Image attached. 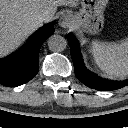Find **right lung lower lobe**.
<instances>
[{
	"mask_svg": "<svg viewBox=\"0 0 128 128\" xmlns=\"http://www.w3.org/2000/svg\"><path fill=\"white\" fill-rule=\"evenodd\" d=\"M53 33L50 23L39 29L19 51L0 59V84L16 87L30 81L39 71L40 47Z\"/></svg>",
	"mask_w": 128,
	"mask_h": 128,
	"instance_id": "obj_1",
	"label": "right lung lower lobe"
}]
</instances>
